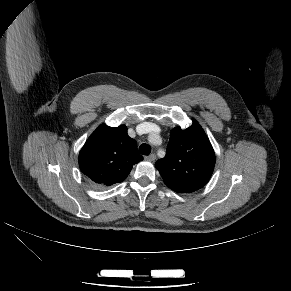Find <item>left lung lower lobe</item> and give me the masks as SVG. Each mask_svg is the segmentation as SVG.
Instances as JSON below:
<instances>
[{
	"label": "left lung lower lobe",
	"instance_id": "obj_1",
	"mask_svg": "<svg viewBox=\"0 0 291 291\" xmlns=\"http://www.w3.org/2000/svg\"><path fill=\"white\" fill-rule=\"evenodd\" d=\"M169 188H171L173 191L178 192V193H190L188 189L180 187V186H171L167 185Z\"/></svg>",
	"mask_w": 291,
	"mask_h": 291
}]
</instances>
